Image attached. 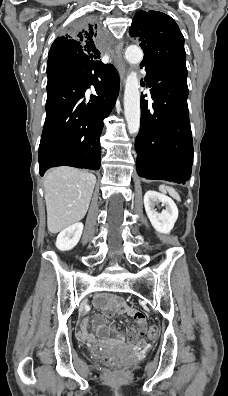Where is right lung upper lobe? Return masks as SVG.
Here are the masks:
<instances>
[{
	"mask_svg": "<svg viewBox=\"0 0 228 396\" xmlns=\"http://www.w3.org/2000/svg\"><path fill=\"white\" fill-rule=\"evenodd\" d=\"M96 28L89 26L78 33L58 37L48 54L47 71L67 70L75 62L99 61Z\"/></svg>",
	"mask_w": 228,
	"mask_h": 396,
	"instance_id": "1",
	"label": "right lung upper lobe"
}]
</instances>
